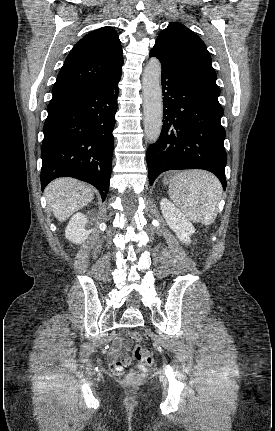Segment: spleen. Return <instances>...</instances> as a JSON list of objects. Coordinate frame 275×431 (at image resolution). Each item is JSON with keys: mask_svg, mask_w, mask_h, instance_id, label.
<instances>
[{"mask_svg": "<svg viewBox=\"0 0 275 431\" xmlns=\"http://www.w3.org/2000/svg\"><path fill=\"white\" fill-rule=\"evenodd\" d=\"M169 195L191 221L210 225L218 214L222 186L210 172L182 171L170 180Z\"/></svg>", "mask_w": 275, "mask_h": 431, "instance_id": "spleen-1", "label": "spleen"}]
</instances>
